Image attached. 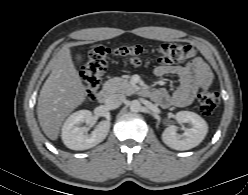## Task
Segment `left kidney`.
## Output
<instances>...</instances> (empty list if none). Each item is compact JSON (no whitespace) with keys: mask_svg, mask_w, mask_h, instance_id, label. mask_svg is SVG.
<instances>
[{"mask_svg":"<svg viewBox=\"0 0 248 195\" xmlns=\"http://www.w3.org/2000/svg\"><path fill=\"white\" fill-rule=\"evenodd\" d=\"M179 123H189L191 128H184L183 134H178L175 126L167 127L162 134V141L175 150H189L199 145L205 138L208 126L198 114L190 111H180L175 115Z\"/></svg>","mask_w":248,"mask_h":195,"instance_id":"5707ae66","label":"left kidney"}]
</instances>
